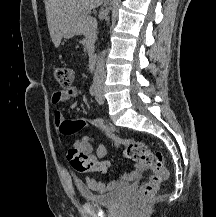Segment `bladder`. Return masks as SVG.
<instances>
[{
  "label": "bladder",
  "instance_id": "31cf9c89",
  "mask_svg": "<svg viewBox=\"0 0 216 217\" xmlns=\"http://www.w3.org/2000/svg\"><path fill=\"white\" fill-rule=\"evenodd\" d=\"M127 188L128 187L124 185L106 193H94L90 190L81 189L80 194L86 202L97 205H112L118 202Z\"/></svg>",
  "mask_w": 216,
  "mask_h": 217
}]
</instances>
